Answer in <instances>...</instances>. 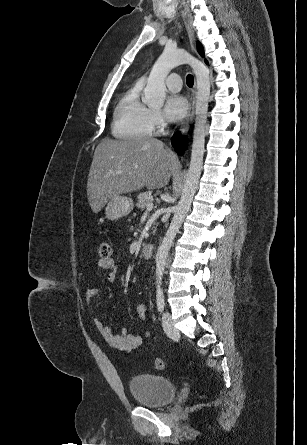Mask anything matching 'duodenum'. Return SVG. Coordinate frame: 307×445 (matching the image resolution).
I'll list each match as a JSON object with an SVG mask.
<instances>
[{
  "instance_id": "duodenum-1",
  "label": "duodenum",
  "mask_w": 307,
  "mask_h": 445,
  "mask_svg": "<svg viewBox=\"0 0 307 445\" xmlns=\"http://www.w3.org/2000/svg\"><path fill=\"white\" fill-rule=\"evenodd\" d=\"M153 251H154V245L152 243H145L141 248V253L146 258L151 257Z\"/></svg>"
}]
</instances>
